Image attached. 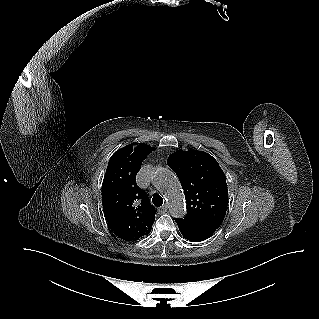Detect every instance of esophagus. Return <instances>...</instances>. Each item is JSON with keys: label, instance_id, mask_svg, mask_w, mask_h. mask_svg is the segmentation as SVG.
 Instances as JSON below:
<instances>
[{"label": "esophagus", "instance_id": "1", "mask_svg": "<svg viewBox=\"0 0 319 319\" xmlns=\"http://www.w3.org/2000/svg\"><path fill=\"white\" fill-rule=\"evenodd\" d=\"M159 213H165L167 211V205H163L158 209Z\"/></svg>", "mask_w": 319, "mask_h": 319}]
</instances>
